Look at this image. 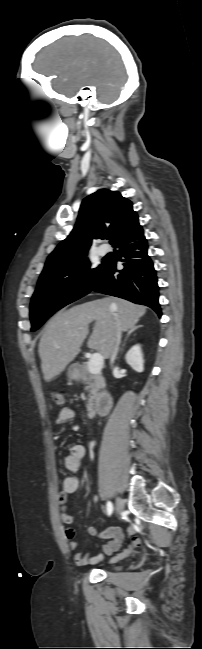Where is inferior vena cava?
<instances>
[{
  "label": "inferior vena cava",
  "instance_id": "1",
  "mask_svg": "<svg viewBox=\"0 0 202 649\" xmlns=\"http://www.w3.org/2000/svg\"><path fill=\"white\" fill-rule=\"evenodd\" d=\"M120 342H121V330H120L119 327H117L115 346H114V348L112 350L111 357H110L111 365L114 364V361H115L116 356L118 354Z\"/></svg>",
  "mask_w": 202,
  "mask_h": 649
}]
</instances>
